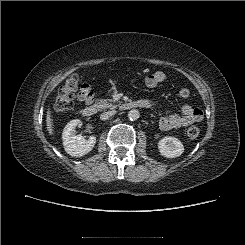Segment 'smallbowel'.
Wrapping results in <instances>:
<instances>
[{
	"mask_svg": "<svg viewBox=\"0 0 245 245\" xmlns=\"http://www.w3.org/2000/svg\"><path fill=\"white\" fill-rule=\"evenodd\" d=\"M165 79L163 72L156 71L147 75L145 83L149 88H155L160 85ZM93 92L89 84H84L83 89L78 95V100L84 103H91L93 100ZM139 103L144 107H157V104L151 100H141ZM182 114L164 115L161 117L159 126L162 130L168 131L181 127L189 126L193 123L199 122L203 118V111L200 108L194 107L190 104H184L181 108Z\"/></svg>",
	"mask_w": 245,
	"mask_h": 245,
	"instance_id": "small-bowel-1",
	"label": "small bowel"
}]
</instances>
